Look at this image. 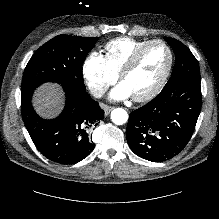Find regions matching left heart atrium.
I'll list each match as a JSON object with an SVG mask.
<instances>
[{"label":"left heart atrium","mask_w":219,"mask_h":219,"mask_svg":"<svg viewBox=\"0 0 219 219\" xmlns=\"http://www.w3.org/2000/svg\"><path fill=\"white\" fill-rule=\"evenodd\" d=\"M132 94L130 90L127 88V86L121 82L119 83L111 92H110V98L114 100H120L125 99L128 97H131Z\"/></svg>","instance_id":"39dd6f15"}]
</instances>
